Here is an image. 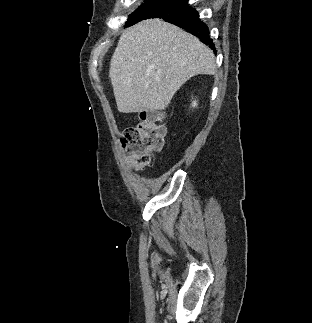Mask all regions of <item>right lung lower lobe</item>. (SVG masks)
Wrapping results in <instances>:
<instances>
[{"label": "right lung lower lobe", "instance_id": "obj_1", "mask_svg": "<svg viewBox=\"0 0 312 323\" xmlns=\"http://www.w3.org/2000/svg\"><path fill=\"white\" fill-rule=\"evenodd\" d=\"M165 21L173 23L183 29H186L200 40L209 45L216 52L212 39L209 38V30L207 26L199 19L198 12L188 6L180 11L170 13L160 17Z\"/></svg>", "mask_w": 312, "mask_h": 323}]
</instances>
